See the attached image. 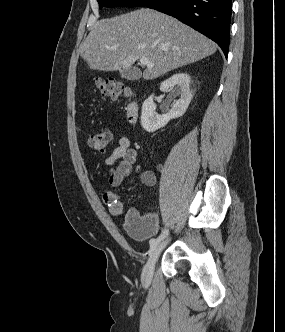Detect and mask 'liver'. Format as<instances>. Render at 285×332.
<instances>
[{
    "mask_svg": "<svg viewBox=\"0 0 285 332\" xmlns=\"http://www.w3.org/2000/svg\"><path fill=\"white\" fill-rule=\"evenodd\" d=\"M217 45L177 19L153 9H140L94 23L80 46L88 67L116 71L138 59L154 64L143 72L145 80L214 54Z\"/></svg>",
    "mask_w": 285,
    "mask_h": 332,
    "instance_id": "1",
    "label": "liver"
}]
</instances>
